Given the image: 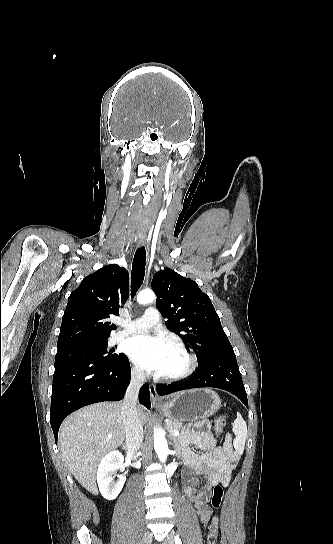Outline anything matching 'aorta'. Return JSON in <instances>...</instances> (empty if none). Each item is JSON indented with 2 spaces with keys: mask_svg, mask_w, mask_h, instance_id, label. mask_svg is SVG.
Here are the masks:
<instances>
[{
  "mask_svg": "<svg viewBox=\"0 0 333 544\" xmlns=\"http://www.w3.org/2000/svg\"><path fill=\"white\" fill-rule=\"evenodd\" d=\"M155 299V293L152 290H143L137 295V302L139 304H148L153 302ZM154 449L159 460L162 463H165L169 449L167 445V440L161 429L154 430Z\"/></svg>",
  "mask_w": 333,
  "mask_h": 544,
  "instance_id": "obj_1",
  "label": "aorta"
}]
</instances>
